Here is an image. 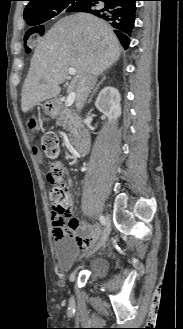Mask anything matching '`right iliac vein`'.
<instances>
[{"label": "right iliac vein", "instance_id": "right-iliac-vein-1", "mask_svg": "<svg viewBox=\"0 0 183 329\" xmlns=\"http://www.w3.org/2000/svg\"><path fill=\"white\" fill-rule=\"evenodd\" d=\"M105 221H106V224H105V228L103 230V234L101 236V239H100L97 247L88 256H91L95 251H97L98 249L104 247V245L106 243V240H107V238L110 234L111 228H110V222H109L108 217L105 218Z\"/></svg>", "mask_w": 183, "mask_h": 329}]
</instances>
